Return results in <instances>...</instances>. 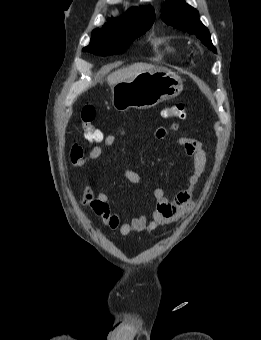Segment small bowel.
<instances>
[{
    "label": "small bowel",
    "instance_id": "obj_1",
    "mask_svg": "<svg viewBox=\"0 0 261 340\" xmlns=\"http://www.w3.org/2000/svg\"><path fill=\"white\" fill-rule=\"evenodd\" d=\"M171 128L177 131L178 125L172 124ZM154 136L157 139H164L167 136V129L165 127L156 128ZM116 139L117 134L115 133L104 136L102 143L95 146L88 154L84 153L80 145L73 144L69 153L71 163L76 167L94 163L102 155L104 149L113 145ZM178 143L191 159V173L187 177V187L180 190L172 201L166 197L163 188H155L153 195L156 204L150 219L146 216L122 219L111 210L109 195L101 189H94L91 185H87L82 193V205L99 216L105 226L112 230H118L122 236H128L133 231L152 232L161 226L177 222L193 209V193L207 163V154L199 141L180 137ZM121 169L129 182L136 185L141 184V177L138 173L124 164L121 165Z\"/></svg>",
    "mask_w": 261,
    "mask_h": 340
}]
</instances>
